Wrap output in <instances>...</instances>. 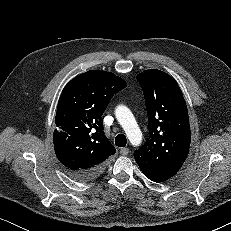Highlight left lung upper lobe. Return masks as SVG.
I'll return each mask as SVG.
<instances>
[{
  "label": "left lung upper lobe",
  "mask_w": 231,
  "mask_h": 231,
  "mask_svg": "<svg viewBox=\"0 0 231 231\" xmlns=\"http://www.w3.org/2000/svg\"><path fill=\"white\" fill-rule=\"evenodd\" d=\"M137 80L145 97L149 138L134 158L158 172L175 175L190 147L186 102L177 82L163 71L145 70Z\"/></svg>",
  "instance_id": "5c2ea615"
}]
</instances>
